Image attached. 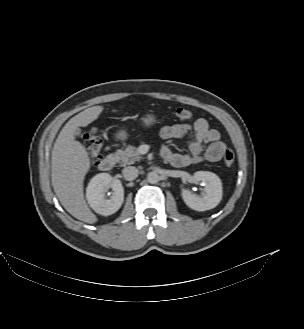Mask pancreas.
Listing matches in <instances>:
<instances>
[{
    "mask_svg": "<svg viewBox=\"0 0 304 329\" xmlns=\"http://www.w3.org/2000/svg\"><path fill=\"white\" fill-rule=\"evenodd\" d=\"M115 155L117 156L118 162L121 166L134 164L142 158L138 152V148L132 145L127 146L125 150H117Z\"/></svg>",
    "mask_w": 304,
    "mask_h": 329,
    "instance_id": "1",
    "label": "pancreas"
}]
</instances>
